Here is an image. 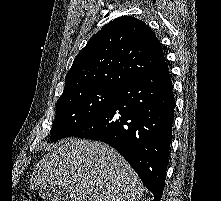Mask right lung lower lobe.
Here are the masks:
<instances>
[{
  "label": "right lung lower lobe",
  "instance_id": "1",
  "mask_svg": "<svg viewBox=\"0 0 221 201\" xmlns=\"http://www.w3.org/2000/svg\"><path fill=\"white\" fill-rule=\"evenodd\" d=\"M175 99L166 62L120 87L111 102L75 129V136L103 141L137 172L160 201L172 138Z\"/></svg>",
  "mask_w": 221,
  "mask_h": 201
}]
</instances>
